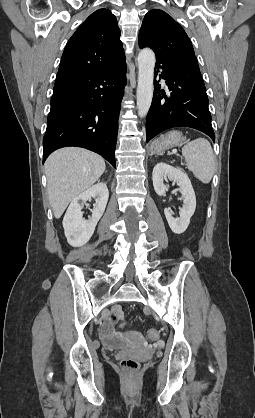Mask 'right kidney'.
Here are the masks:
<instances>
[{"label":"right kidney","mask_w":255,"mask_h":418,"mask_svg":"<svg viewBox=\"0 0 255 418\" xmlns=\"http://www.w3.org/2000/svg\"><path fill=\"white\" fill-rule=\"evenodd\" d=\"M91 198H95L96 203L91 218L85 220L82 206ZM108 198V188L101 182L80 193L71 201L63 219L65 236L71 246L80 247L89 241L105 211Z\"/></svg>","instance_id":"right-kidney-1"}]
</instances>
